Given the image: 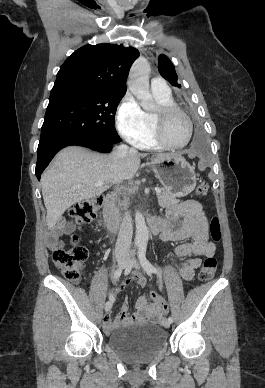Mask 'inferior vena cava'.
I'll list each match as a JSON object with an SVG mask.
<instances>
[{
  "label": "inferior vena cava",
  "mask_w": 265,
  "mask_h": 388,
  "mask_svg": "<svg viewBox=\"0 0 265 388\" xmlns=\"http://www.w3.org/2000/svg\"><path fill=\"white\" fill-rule=\"evenodd\" d=\"M129 152V146H125V144H121L118 146L116 150L113 152V156H115L118 162L124 160ZM137 152V150H135ZM133 236V224L132 218L129 212H125L124 218L122 220V224L120 226L116 248H115V256L116 258H128L129 256V248L131 246Z\"/></svg>",
  "instance_id": "inferior-vena-cava-1"
}]
</instances>
